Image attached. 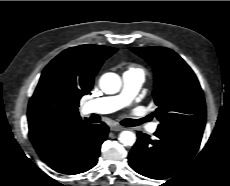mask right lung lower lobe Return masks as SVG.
Here are the masks:
<instances>
[{"mask_svg":"<svg viewBox=\"0 0 230 186\" xmlns=\"http://www.w3.org/2000/svg\"><path fill=\"white\" fill-rule=\"evenodd\" d=\"M108 131L105 123L93 125L84 122L71 132L53 139L43 149L36 150L40 158L57 172L83 173L96 165Z\"/></svg>","mask_w":230,"mask_h":186,"instance_id":"98d812e1","label":"right lung lower lobe"}]
</instances>
